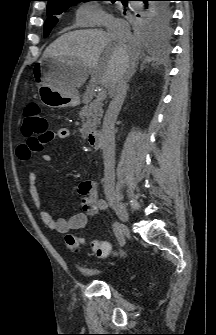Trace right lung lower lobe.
Returning a JSON list of instances; mask_svg holds the SVG:
<instances>
[{
    "label": "right lung lower lobe",
    "mask_w": 216,
    "mask_h": 335,
    "mask_svg": "<svg viewBox=\"0 0 216 335\" xmlns=\"http://www.w3.org/2000/svg\"><path fill=\"white\" fill-rule=\"evenodd\" d=\"M123 5L127 6V1L125 0H121ZM143 1V3L145 4L142 8V14H146L152 11L153 5L157 2H162V1H152V0H140Z\"/></svg>",
    "instance_id": "right-lung-lower-lobe-1"
}]
</instances>
